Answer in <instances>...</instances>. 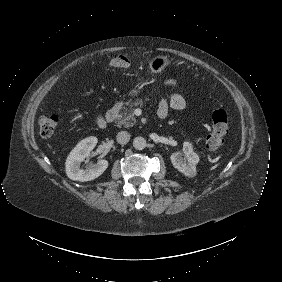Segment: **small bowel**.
<instances>
[{"label":"small bowel","mask_w":282,"mask_h":282,"mask_svg":"<svg viewBox=\"0 0 282 282\" xmlns=\"http://www.w3.org/2000/svg\"><path fill=\"white\" fill-rule=\"evenodd\" d=\"M163 87L176 90L175 93L164 97L158 106L157 115L161 119H165L168 116L169 107L175 110H182L186 107V96L184 94V87L176 78H166L163 83Z\"/></svg>","instance_id":"1"}]
</instances>
